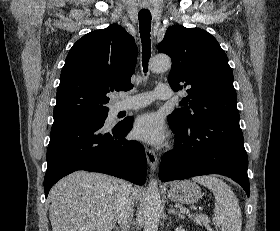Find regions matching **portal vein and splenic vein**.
Instances as JSON below:
<instances>
[{"mask_svg": "<svg viewBox=\"0 0 280 231\" xmlns=\"http://www.w3.org/2000/svg\"><path fill=\"white\" fill-rule=\"evenodd\" d=\"M181 211H183V213H185V211H187V209H181Z\"/></svg>", "mask_w": 280, "mask_h": 231, "instance_id": "obj_1", "label": "portal vein and splenic vein"}]
</instances>
